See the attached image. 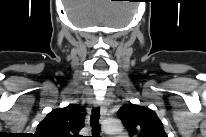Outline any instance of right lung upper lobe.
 <instances>
[{
	"mask_svg": "<svg viewBox=\"0 0 206 137\" xmlns=\"http://www.w3.org/2000/svg\"><path fill=\"white\" fill-rule=\"evenodd\" d=\"M77 105L52 110L38 124L36 137H76L84 127V116Z\"/></svg>",
	"mask_w": 206,
	"mask_h": 137,
	"instance_id": "cb5924a9",
	"label": "right lung upper lobe"
}]
</instances>
